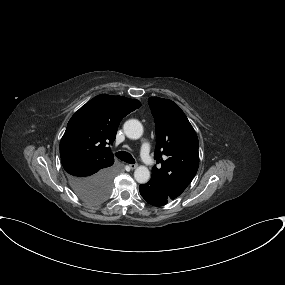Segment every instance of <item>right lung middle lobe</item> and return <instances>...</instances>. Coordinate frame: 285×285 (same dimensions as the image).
I'll use <instances>...</instances> for the list:
<instances>
[{
  "instance_id": "obj_1",
  "label": "right lung middle lobe",
  "mask_w": 285,
  "mask_h": 285,
  "mask_svg": "<svg viewBox=\"0 0 285 285\" xmlns=\"http://www.w3.org/2000/svg\"><path fill=\"white\" fill-rule=\"evenodd\" d=\"M110 190L105 188H94L86 190L85 192L78 193L77 195L85 202L88 203H100L108 198Z\"/></svg>"
}]
</instances>
